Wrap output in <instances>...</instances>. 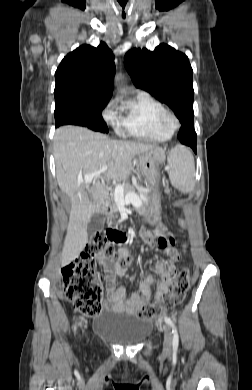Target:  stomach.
<instances>
[{
    "mask_svg": "<svg viewBox=\"0 0 252 390\" xmlns=\"http://www.w3.org/2000/svg\"><path fill=\"white\" fill-rule=\"evenodd\" d=\"M165 153L160 150H150L142 153L138 157V170L145 176L148 184L154 188L159 182V168L164 163ZM160 197L157 192L152 196L149 203L145 206L144 219L154 225L160 220Z\"/></svg>",
    "mask_w": 252,
    "mask_h": 390,
    "instance_id": "1",
    "label": "stomach"
}]
</instances>
